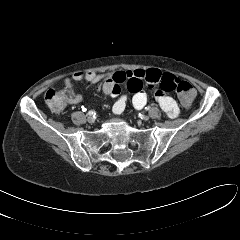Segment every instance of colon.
<instances>
[{
	"mask_svg": "<svg viewBox=\"0 0 240 240\" xmlns=\"http://www.w3.org/2000/svg\"><path fill=\"white\" fill-rule=\"evenodd\" d=\"M174 89L184 106L192 104L196 91L189 82L178 81ZM45 102L53 113H60L67 105L68 95L65 90L50 89L45 94Z\"/></svg>",
	"mask_w": 240,
	"mask_h": 240,
	"instance_id": "5ec220e1",
	"label": "colon"
}]
</instances>
